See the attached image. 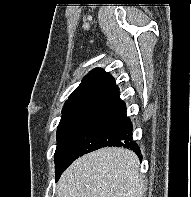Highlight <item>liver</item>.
Listing matches in <instances>:
<instances>
[{
    "instance_id": "liver-1",
    "label": "liver",
    "mask_w": 191,
    "mask_h": 197,
    "mask_svg": "<svg viewBox=\"0 0 191 197\" xmlns=\"http://www.w3.org/2000/svg\"><path fill=\"white\" fill-rule=\"evenodd\" d=\"M137 155L106 147L75 160L62 174L57 197H142Z\"/></svg>"
}]
</instances>
